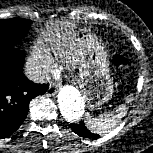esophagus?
Instances as JSON below:
<instances>
[{
	"label": "esophagus",
	"instance_id": "obj_1",
	"mask_svg": "<svg viewBox=\"0 0 153 153\" xmlns=\"http://www.w3.org/2000/svg\"><path fill=\"white\" fill-rule=\"evenodd\" d=\"M56 93H57L56 85L55 84L50 85V87H49V89L47 91V94L49 96H54V95H56Z\"/></svg>",
	"mask_w": 153,
	"mask_h": 153
}]
</instances>
